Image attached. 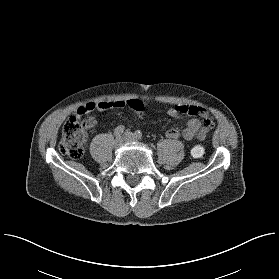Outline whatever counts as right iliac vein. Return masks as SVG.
Segmentation results:
<instances>
[{"label":"right iliac vein","instance_id":"obj_1","mask_svg":"<svg viewBox=\"0 0 279 279\" xmlns=\"http://www.w3.org/2000/svg\"><path fill=\"white\" fill-rule=\"evenodd\" d=\"M123 144V139L121 137L116 138L115 142H114V146L116 148L120 147Z\"/></svg>","mask_w":279,"mask_h":279}]
</instances>
